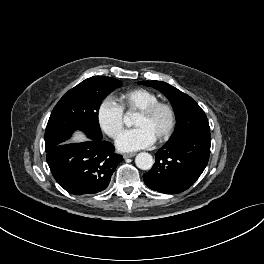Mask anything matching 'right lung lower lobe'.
<instances>
[{
	"label": "right lung lower lobe",
	"instance_id": "right-lung-lower-lobe-1",
	"mask_svg": "<svg viewBox=\"0 0 264 264\" xmlns=\"http://www.w3.org/2000/svg\"><path fill=\"white\" fill-rule=\"evenodd\" d=\"M47 152V163L55 180L74 195L94 194L109 185L117 165L123 160L114 146L102 139L80 144H58Z\"/></svg>",
	"mask_w": 264,
	"mask_h": 264
}]
</instances>
